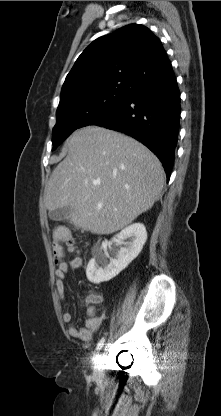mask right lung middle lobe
Wrapping results in <instances>:
<instances>
[{
    "instance_id": "dd1d6c3e",
    "label": "right lung middle lobe",
    "mask_w": 221,
    "mask_h": 416,
    "mask_svg": "<svg viewBox=\"0 0 221 416\" xmlns=\"http://www.w3.org/2000/svg\"><path fill=\"white\" fill-rule=\"evenodd\" d=\"M131 91L125 88H109L59 105L57 123L53 128L52 150L76 129L110 116Z\"/></svg>"
}]
</instances>
